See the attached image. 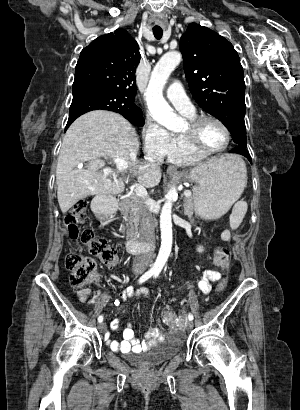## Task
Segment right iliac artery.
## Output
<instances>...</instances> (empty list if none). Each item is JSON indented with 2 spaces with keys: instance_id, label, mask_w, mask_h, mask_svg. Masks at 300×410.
I'll return each instance as SVG.
<instances>
[{
  "instance_id": "right-iliac-artery-1",
  "label": "right iliac artery",
  "mask_w": 300,
  "mask_h": 410,
  "mask_svg": "<svg viewBox=\"0 0 300 410\" xmlns=\"http://www.w3.org/2000/svg\"><path fill=\"white\" fill-rule=\"evenodd\" d=\"M152 275H154V272L152 271H147L145 274H143L140 279H139V283H143L146 280H148ZM103 321V316H99L98 317V322L101 323Z\"/></svg>"
}]
</instances>
